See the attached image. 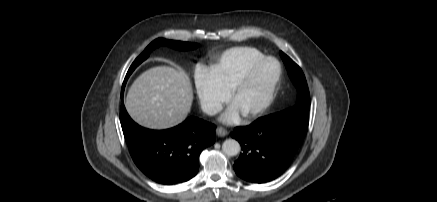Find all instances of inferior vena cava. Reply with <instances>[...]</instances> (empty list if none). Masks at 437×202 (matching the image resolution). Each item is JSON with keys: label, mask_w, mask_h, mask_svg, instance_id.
<instances>
[{"label": "inferior vena cava", "mask_w": 437, "mask_h": 202, "mask_svg": "<svg viewBox=\"0 0 437 202\" xmlns=\"http://www.w3.org/2000/svg\"><path fill=\"white\" fill-rule=\"evenodd\" d=\"M201 108L208 115H215L222 110V106L219 104H202Z\"/></svg>", "instance_id": "1"}]
</instances>
